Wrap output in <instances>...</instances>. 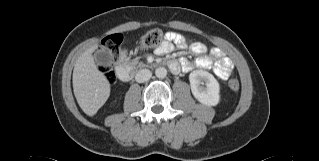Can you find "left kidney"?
<instances>
[{"label":"left kidney","mask_w":319,"mask_h":161,"mask_svg":"<svg viewBox=\"0 0 319 161\" xmlns=\"http://www.w3.org/2000/svg\"><path fill=\"white\" fill-rule=\"evenodd\" d=\"M193 96L202 104L216 106L219 103V83L207 71L194 70L189 75ZM205 85V86H204Z\"/></svg>","instance_id":"1"}]
</instances>
